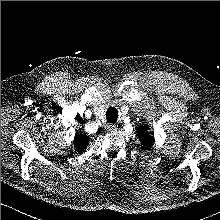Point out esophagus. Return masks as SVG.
Masks as SVG:
<instances>
[{
    "instance_id": "esophagus-1",
    "label": "esophagus",
    "mask_w": 220,
    "mask_h": 220,
    "mask_svg": "<svg viewBox=\"0 0 220 220\" xmlns=\"http://www.w3.org/2000/svg\"><path fill=\"white\" fill-rule=\"evenodd\" d=\"M105 129H106L107 131L114 132V131H116L117 127H116V125H114V124H107V125L105 126Z\"/></svg>"
}]
</instances>
